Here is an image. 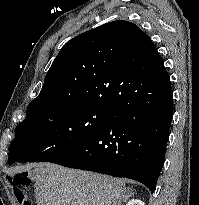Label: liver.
<instances>
[{"label":"liver","mask_w":199,"mask_h":205,"mask_svg":"<svg viewBox=\"0 0 199 205\" xmlns=\"http://www.w3.org/2000/svg\"><path fill=\"white\" fill-rule=\"evenodd\" d=\"M33 174L37 205H121L133 194L124 180L52 163Z\"/></svg>","instance_id":"liver-1"}]
</instances>
